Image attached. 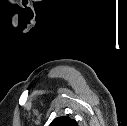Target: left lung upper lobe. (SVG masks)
Returning <instances> with one entry per match:
<instances>
[{"instance_id":"5c2ea615","label":"left lung upper lobe","mask_w":127,"mask_h":126,"mask_svg":"<svg viewBox=\"0 0 127 126\" xmlns=\"http://www.w3.org/2000/svg\"><path fill=\"white\" fill-rule=\"evenodd\" d=\"M49 126H77V122L68 116L57 117Z\"/></svg>"}]
</instances>
